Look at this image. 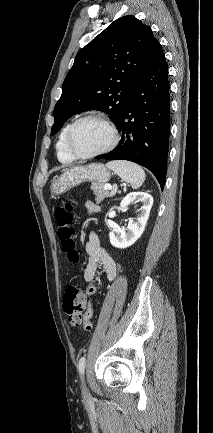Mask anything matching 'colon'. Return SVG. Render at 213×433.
Here are the masks:
<instances>
[{
	"label": "colon",
	"instance_id": "obj_1",
	"mask_svg": "<svg viewBox=\"0 0 213 433\" xmlns=\"http://www.w3.org/2000/svg\"><path fill=\"white\" fill-rule=\"evenodd\" d=\"M72 202H62L54 212L55 220L58 225V237L61 241L63 250L67 253L68 259L76 264L80 260L77 251V241L73 222ZM63 310L68 321L73 326L82 325L86 331L92 329L90 320L86 316L87 297L85 292L78 286L76 278H73L63 294Z\"/></svg>",
	"mask_w": 213,
	"mask_h": 433
}]
</instances>
